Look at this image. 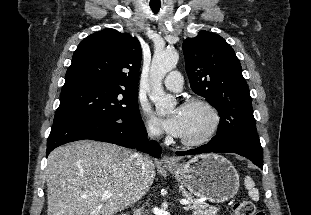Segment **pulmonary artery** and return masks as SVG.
I'll list each match as a JSON object with an SVG mask.
<instances>
[{"mask_svg": "<svg viewBox=\"0 0 311 215\" xmlns=\"http://www.w3.org/2000/svg\"><path fill=\"white\" fill-rule=\"evenodd\" d=\"M164 85L168 90L179 92L183 87V78L180 72L172 71L170 72L165 80Z\"/></svg>", "mask_w": 311, "mask_h": 215, "instance_id": "e3ab8cb5", "label": "pulmonary artery"}]
</instances>
